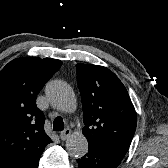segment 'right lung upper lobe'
Here are the masks:
<instances>
[{
  "label": "right lung upper lobe",
  "mask_w": 168,
  "mask_h": 168,
  "mask_svg": "<svg viewBox=\"0 0 168 168\" xmlns=\"http://www.w3.org/2000/svg\"><path fill=\"white\" fill-rule=\"evenodd\" d=\"M61 65L56 59L22 57L0 71V168H38L51 139L36 97Z\"/></svg>",
  "instance_id": "1"
}]
</instances>
